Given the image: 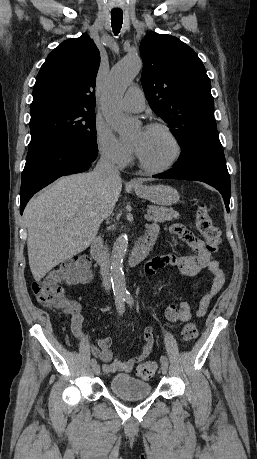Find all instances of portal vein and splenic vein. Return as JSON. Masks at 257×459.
Returning a JSON list of instances; mask_svg holds the SVG:
<instances>
[{
	"label": "portal vein and splenic vein",
	"instance_id": "obj_1",
	"mask_svg": "<svg viewBox=\"0 0 257 459\" xmlns=\"http://www.w3.org/2000/svg\"><path fill=\"white\" fill-rule=\"evenodd\" d=\"M145 219H146L147 221H150V220H152V216H151L150 214H146V215H145Z\"/></svg>",
	"mask_w": 257,
	"mask_h": 459
}]
</instances>
